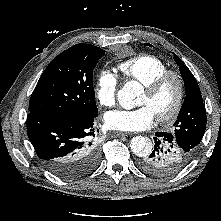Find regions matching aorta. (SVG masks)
Instances as JSON below:
<instances>
[{
	"label": "aorta",
	"instance_id": "obj_1",
	"mask_svg": "<svg viewBox=\"0 0 221 221\" xmlns=\"http://www.w3.org/2000/svg\"><path fill=\"white\" fill-rule=\"evenodd\" d=\"M143 87L137 81H129L118 92V101L125 109H131L136 105V98L140 96ZM131 151L138 155L143 156L152 150V143L143 136L133 137L130 141Z\"/></svg>",
	"mask_w": 221,
	"mask_h": 221
}]
</instances>
